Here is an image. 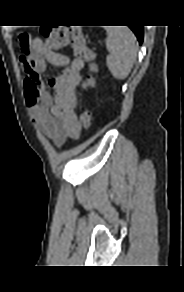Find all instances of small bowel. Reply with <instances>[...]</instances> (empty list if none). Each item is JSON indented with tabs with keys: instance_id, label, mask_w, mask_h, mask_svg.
Wrapping results in <instances>:
<instances>
[{
	"instance_id": "1",
	"label": "small bowel",
	"mask_w": 184,
	"mask_h": 292,
	"mask_svg": "<svg viewBox=\"0 0 184 292\" xmlns=\"http://www.w3.org/2000/svg\"><path fill=\"white\" fill-rule=\"evenodd\" d=\"M20 62L26 72L24 95L26 104L40 130L56 146L79 136L80 122L76 115L75 88L82 77L84 61L48 50L39 39L21 46ZM64 68L46 81L41 75L47 64ZM49 87L53 89L52 95Z\"/></svg>"
}]
</instances>
